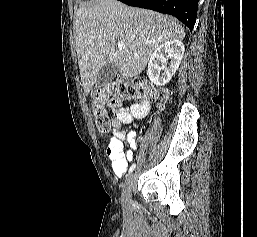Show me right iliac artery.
Instances as JSON below:
<instances>
[{
    "instance_id": "82829eb1",
    "label": "right iliac artery",
    "mask_w": 257,
    "mask_h": 237,
    "mask_svg": "<svg viewBox=\"0 0 257 237\" xmlns=\"http://www.w3.org/2000/svg\"><path fill=\"white\" fill-rule=\"evenodd\" d=\"M135 167H136V164H133V165L130 167V169H129V174L135 169Z\"/></svg>"
}]
</instances>
